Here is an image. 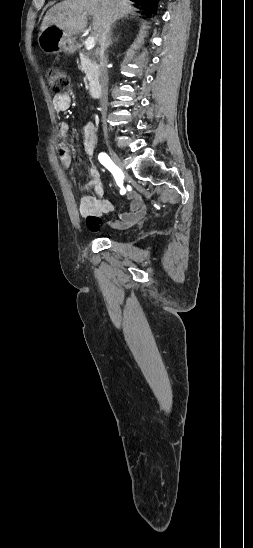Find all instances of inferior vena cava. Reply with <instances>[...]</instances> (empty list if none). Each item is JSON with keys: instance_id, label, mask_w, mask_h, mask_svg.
<instances>
[{"instance_id": "obj_1", "label": "inferior vena cava", "mask_w": 253, "mask_h": 548, "mask_svg": "<svg viewBox=\"0 0 253 548\" xmlns=\"http://www.w3.org/2000/svg\"><path fill=\"white\" fill-rule=\"evenodd\" d=\"M112 16H113V12L110 10L108 12V14L106 15V17H105V20L102 24V29H101V32H100V35H99V38H98V42H99V45H100V48H99V55H100L99 75H100V85H101V89H102V93H101V97H100V106H101L102 111H104V112L107 110V103H108V99H107L108 73H107V58L105 56V50L107 49L106 44H107V40H108V36H109V32H110L111 23H112ZM99 119L101 121V123H100L101 126H103V127L106 126V124H107L106 123V121H107L106 114L105 113H100L99 114ZM103 131H104V136L107 137V128L104 127Z\"/></svg>"}]
</instances>
